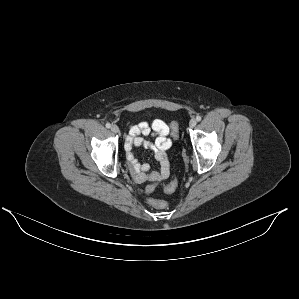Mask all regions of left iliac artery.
Returning <instances> with one entry per match:
<instances>
[{"mask_svg":"<svg viewBox=\"0 0 299 299\" xmlns=\"http://www.w3.org/2000/svg\"><path fill=\"white\" fill-rule=\"evenodd\" d=\"M196 120L199 122V121H201V116H197L196 117Z\"/></svg>","mask_w":299,"mask_h":299,"instance_id":"left-iliac-artery-1","label":"left iliac artery"}]
</instances>
